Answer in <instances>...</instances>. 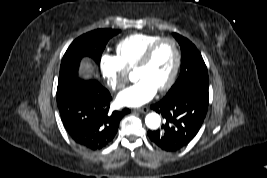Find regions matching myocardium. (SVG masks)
Listing matches in <instances>:
<instances>
[{"mask_svg":"<svg viewBox=\"0 0 267 178\" xmlns=\"http://www.w3.org/2000/svg\"><path fill=\"white\" fill-rule=\"evenodd\" d=\"M165 42H169L172 44L174 52H175V62H174V65H173V68H172V71H171V74L168 80L162 86L158 88V91L160 92L168 90L174 84L176 77L178 75V72H179L182 55H181V50H180L177 40L173 37L160 38L145 51V53L143 54V56L141 57L140 61L138 62L136 66V69H141V68L146 67L151 62L157 49Z\"/></svg>","mask_w":267,"mask_h":178,"instance_id":"f54148a6","label":"myocardium"}]
</instances>
